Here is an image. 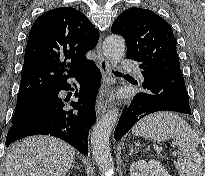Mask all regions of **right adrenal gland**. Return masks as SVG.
<instances>
[{"mask_svg": "<svg viewBox=\"0 0 205 176\" xmlns=\"http://www.w3.org/2000/svg\"><path fill=\"white\" fill-rule=\"evenodd\" d=\"M73 168L79 169V167H77L74 163H73V165L71 166V169H73Z\"/></svg>", "mask_w": 205, "mask_h": 176, "instance_id": "right-adrenal-gland-1", "label": "right adrenal gland"}]
</instances>
